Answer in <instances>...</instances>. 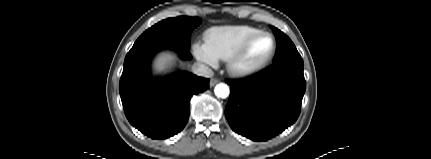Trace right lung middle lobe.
Segmentation results:
<instances>
[{
  "label": "right lung middle lobe",
  "instance_id": "dd1d6c3e",
  "mask_svg": "<svg viewBox=\"0 0 431 159\" xmlns=\"http://www.w3.org/2000/svg\"><path fill=\"white\" fill-rule=\"evenodd\" d=\"M201 23L198 17L179 16L168 18L147 29L133 46L151 41H165L189 49L192 31Z\"/></svg>",
  "mask_w": 431,
  "mask_h": 159
}]
</instances>
